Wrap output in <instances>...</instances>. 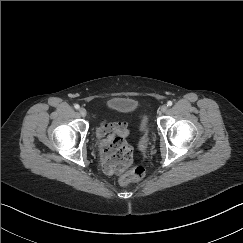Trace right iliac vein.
<instances>
[{"instance_id": "1", "label": "right iliac vein", "mask_w": 243, "mask_h": 243, "mask_svg": "<svg viewBox=\"0 0 243 243\" xmlns=\"http://www.w3.org/2000/svg\"><path fill=\"white\" fill-rule=\"evenodd\" d=\"M79 113L82 117H85L87 115V111L84 108H80Z\"/></svg>"}]
</instances>
